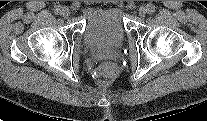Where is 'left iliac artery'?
Segmentation results:
<instances>
[{
  "mask_svg": "<svg viewBox=\"0 0 207 121\" xmlns=\"http://www.w3.org/2000/svg\"><path fill=\"white\" fill-rule=\"evenodd\" d=\"M147 11L149 14H152L155 12V6L152 5V4H149L148 7H147Z\"/></svg>",
  "mask_w": 207,
  "mask_h": 121,
  "instance_id": "left-iliac-artery-1",
  "label": "left iliac artery"
}]
</instances>
